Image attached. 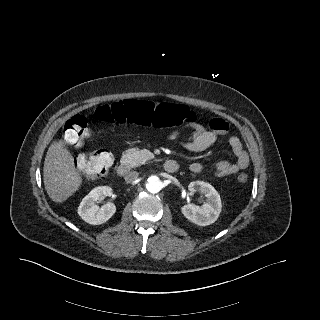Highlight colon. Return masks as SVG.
<instances>
[{
	"mask_svg": "<svg viewBox=\"0 0 320 320\" xmlns=\"http://www.w3.org/2000/svg\"><path fill=\"white\" fill-rule=\"evenodd\" d=\"M96 118L105 123L137 124L154 128H166L181 124L193 118L185 107L172 104H154L149 101L128 99L112 104L99 106L95 111ZM89 135L88 120L85 116L76 115L67 120L63 127V141L66 145H80ZM109 151L98 150L78 156L77 165L87 177L92 179L104 177L113 164ZM246 173L238 175L240 183H246Z\"/></svg>",
	"mask_w": 320,
	"mask_h": 320,
	"instance_id": "obj_1",
	"label": "colon"
}]
</instances>
